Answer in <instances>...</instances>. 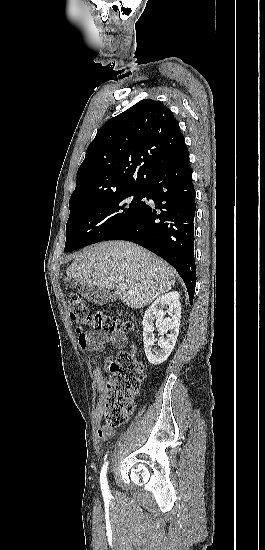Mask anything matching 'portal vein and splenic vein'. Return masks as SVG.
Listing matches in <instances>:
<instances>
[{
  "label": "portal vein and splenic vein",
  "instance_id": "1",
  "mask_svg": "<svg viewBox=\"0 0 265 550\" xmlns=\"http://www.w3.org/2000/svg\"><path fill=\"white\" fill-rule=\"evenodd\" d=\"M118 289L122 290V291H125L127 289L126 285L125 284H119L118 285ZM131 294H134V292L130 291Z\"/></svg>",
  "mask_w": 265,
  "mask_h": 550
}]
</instances>
